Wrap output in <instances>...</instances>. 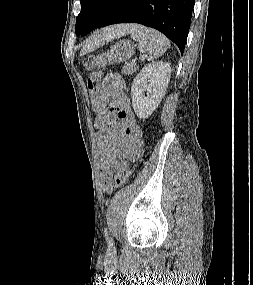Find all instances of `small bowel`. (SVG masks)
Masks as SVG:
<instances>
[{
	"instance_id": "1",
	"label": "small bowel",
	"mask_w": 253,
	"mask_h": 285,
	"mask_svg": "<svg viewBox=\"0 0 253 285\" xmlns=\"http://www.w3.org/2000/svg\"><path fill=\"white\" fill-rule=\"evenodd\" d=\"M97 113L95 128L98 131L101 156V184L106 193L113 191V172L123 161H136L143 150L142 131L130 110L125 84L118 74L104 79L100 93L93 99Z\"/></svg>"
}]
</instances>
